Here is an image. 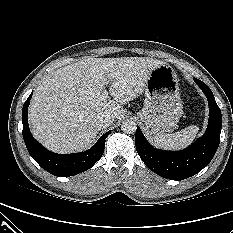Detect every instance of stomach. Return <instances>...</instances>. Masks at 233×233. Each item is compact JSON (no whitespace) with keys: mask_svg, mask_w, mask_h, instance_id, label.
Returning a JSON list of instances; mask_svg holds the SVG:
<instances>
[{"mask_svg":"<svg viewBox=\"0 0 233 233\" xmlns=\"http://www.w3.org/2000/svg\"><path fill=\"white\" fill-rule=\"evenodd\" d=\"M178 82L174 69L165 63L150 72L138 116L151 136L172 132L183 115Z\"/></svg>","mask_w":233,"mask_h":233,"instance_id":"obj_1","label":"stomach"}]
</instances>
